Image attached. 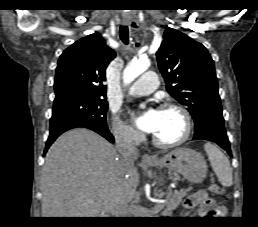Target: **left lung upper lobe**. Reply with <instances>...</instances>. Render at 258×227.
<instances>
[{"label":"left lung upper lobe","instance_id":"obj_1","mask_svg":"<svg viewBox=\"0 0 258 227\" xmlns=\"http://www.w3.org/2000/svg\"><path fill=\"white\" fill-rule=\"evenodd\" d=\"M156 56L166 89L188 107L195 134L210 124L224 125L214 61L207 49L187 35L167 28Z\"/></svg>","mask_w":258,"mask_h":227}]
</instances>
